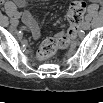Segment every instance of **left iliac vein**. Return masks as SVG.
<instances>
[{
    "instance_id": "1",
    "label": "left iliac vein",
    "mask_w": 103,
    "mask_h": 103,
    "mask_svg": "<svg viewBox=\"0 0 103 103\" xmlns=\"http://www.w3.org/2000/svg\"><path fill=\"white\" fill-rule=\"evenodd\" d=\"M82 28L84 30H88L90 28V23L89 22H85L83 25H82Z\"/></svg>"
}]
</instances>
